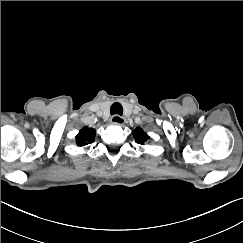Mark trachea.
Segmentation results:
<instances>
[{"label": "trachea", "instance_id": "1", "mask_svg": "<svg viewBox=\"0 0 243 243\" xmlns=\"http://www.w3.org/2000/svg\"><path fill=\"white\" fill-rule=\"evenodd\" d=\"M110 113L112 115L118 114V115L122 116V114H123V107H122V105L120 103H118V102L113 103L111 108H110Z\"/></svg>", "mask_w": 243, "mask_h": 243}]
</instances>
